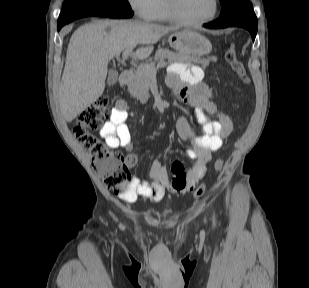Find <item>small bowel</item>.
I'll return each instance as SVG.
<instances>
[{"label": "small bowel", "instance_id": "1", "mask_svg": "<svg viewBox=\"0 0 309 288\" xmlns=\"http://www.w3.org/2000/svg\"><path fill=\"white\" fill-rule=\"evenodd\" d=\"M167 83L194 111L201 126V133L196 134L184 116H178L176 120L179 136L191 146L187 155L193 164L185 168L181 161L173 162L170 177L167 168L159 161H154L150 169L152 181L135 177L130 190L118 196L122 201L131 203L138 199H148L157 202L163 197L167 185L173 193L184 194L193 191L205 175L211 154L222 147L224 139L232 131V121L226 114L217 110L210 90L203 82V71L198 65L173 64ZM129 114L128 104L124 100H118L111 111L110 119L102 126L99 134L110 148L127 150L129 153L126 162L132 167L136 163V155L132 153L134 144L126 123ZM207 114H216L218 119H209Z\"/></svg>", "mask_w": 309, "mask_h": 288}]
</instances>
